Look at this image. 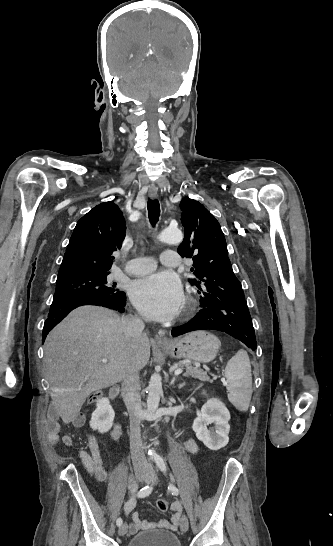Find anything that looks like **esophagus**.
I'll return each mask as SVG.
<instances>
[{
  "instance_id": "1",
  "label": "esophagus",
  "mask_w": 333,
  "mask_h": 546,
  "mask_svg": "<svg viewBox=\"0 0 333 546\" xmlns=\"http://www.w3.org/2000/svg\"><path fill=\"white\" fill-rule=\"evenodd\" d=\"M158 196V189L155 185H151L149 187V197L151 199H156ZM155 341L158 343V344H162V345H166V344H169L170 341L169 339L167 338L166 336V332L164 330H159L157 332V334L155 335Z\"/></svg>"
}]
</instances>
